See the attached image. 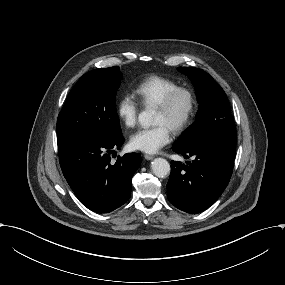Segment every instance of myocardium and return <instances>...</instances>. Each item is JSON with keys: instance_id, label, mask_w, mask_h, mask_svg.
Here are the masks:
<instances>
[{"instance_id": "myocardium-1", "label": "myocardium", "mask_w": 285, "mask_h": 285, "mask_svg": "<svg viewBox=\"0 0 285 285\" xmlns=\"http://www.w3.org/2000/svg\"><path fill=\"white\" fill-rule=\"evenodd\" d=\"M180 93H185L188 97V106L180 117L176 118L172 124L171 129L174 131H179L185 127L191 120L196 106H197V97L195 91L189 86H176L171 91H169L165 97L159 101L155 107L162 111H170L173 107V104Z\"/></svg>"}]
</instances>
